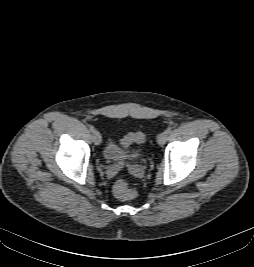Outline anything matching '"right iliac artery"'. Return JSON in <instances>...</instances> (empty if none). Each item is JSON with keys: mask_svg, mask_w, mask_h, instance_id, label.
<instances>
[{"mask_svg": "<svg viewBox=\"0 0 254 267\" xmlns=\"http://www.w3.org/2000/svg\"><path fill=\"white\" fill-rule=\"evenodd\" d=\"M89 130H90L91 132H94V131H95V128H94L92 125H89Z\"/></svg>", "mask_w": 254, "mask_h": 267, "instance_id": "obj_1", "label": "right iliac artery"}]
</instances>
